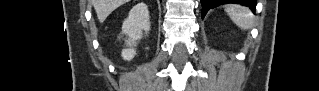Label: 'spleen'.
Instances as JSON below:
<instances>
[{"label":"spleen","instance_id":"obj_1","mask_svg":"<svg viewBox=\"0 0 319 91\" xmlns=\"http://www.w3.org/2000/svg\"><path fill=\"white\" fill-rule=\"evenodd\" d=\"M225 10L231 20L241 29L247 30L253 27V15L248 8L230 4L226 6Z\"/></svg>","mask_w":319,"mask_h":91}]
</instances>
